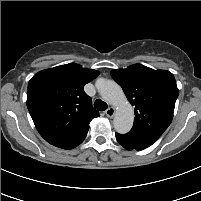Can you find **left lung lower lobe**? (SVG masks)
<instances>
[{
  "label": "left lung lower lobe",
  "mask_w": 201,
  "mask_h": 201,
  "mask_svg": "<svg viewBox=\"0 0 201 201\" xmlns=\"http://www.w3.org/2000/svg\"><path fill=\"white\" fill-rule=\"evenodd\" d=\"M159 135L140 132H129L121 135L116 133L118 143L127 150H143L155 143L159 139Z\"/></svg>",
  "instance_id": "1"
}]
</instances>
